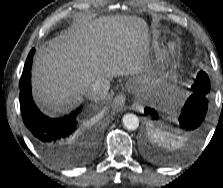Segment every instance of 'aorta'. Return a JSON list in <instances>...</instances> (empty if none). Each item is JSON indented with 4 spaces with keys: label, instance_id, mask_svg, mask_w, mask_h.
Listing matches in <instances>:
<instances>
[{
    "label": "aorta",
    "instance_id": "obj_1",
    "mask_svg": "<svg viewBox=\"0 0 223 188\" xmlns=\"http://www.w3.org/2000/svg\"><path fill=\"white\" fill-rule=\"evenodd\" d=\"M122 121L127 130H135L139 126V119L133 113L124 115Z\"/></svg>",
    "mask_w": 223,
    "mask_h": 188
}]
</instances>
